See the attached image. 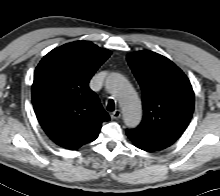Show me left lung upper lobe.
<instances>
[{"label": "left lung upper lobe", "instance_id": "obj_1", "mask_svg": "<svg viewBox=\"0 0 220 196\" xmlns=\"http://www.w3.org/2000/svg\"><path fill=\"white\" fill-rule=\"evenodd\" d=\"M142 88L143 119L128 129L157 150L171 146L187 128L194 110V92L186 75L166 57L138 51L127 56Z\"/></svg>", "mask_w": 220, "mask_h": 196}]
</instances>
